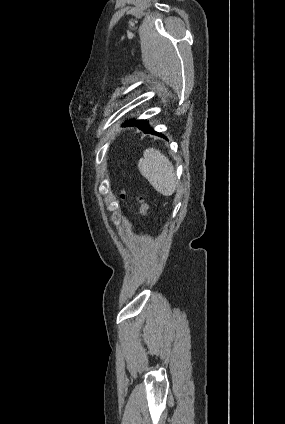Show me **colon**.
Masks as SVG:
<instances>
[{"label":"colon","instance_id":"colon-1","mask_svg":"<svg viewBox=\"0 0 285 424\" xmlns=\"http://www.w3.org/2000/svg\"><path fill=\"white\" fill-rule=\"evenodd\" d=\"M136 202L138 204V213L145 215L147 213L148 206L144 201L143 197H137Z\"/></svg>","mask_w":285,"mask_h":424}]
</instances>
